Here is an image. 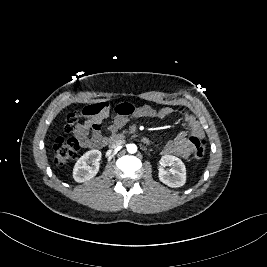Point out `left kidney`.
Here are the masks:
<instances>
[{
	"label": "left kidney",
	"mask_w": 267,
	"mask_h": 267,
	"mask_svg": "<svg viewBox=\"0 0 267 267\" xmlns=\"http://www.w3.org/2000/svg\"><path fill=\"white\" fill-rule=\"evenodd\" d=\"M170 166L169 172L164 167ZM159 180L169 187H181L186 183V167L181 159L173 155H164L160 160Z\"/></svg>",
	"instance_id": "5707ae66"
}]
</instances>
